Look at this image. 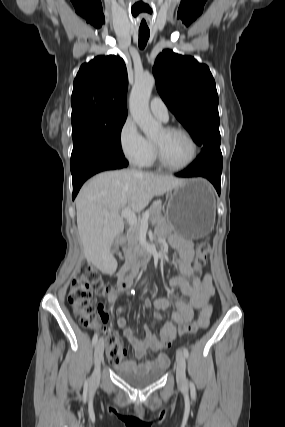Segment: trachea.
I'll use <instances>...</instances> for the list:
<instances>
[{"instance_id":"obj_1","label":"trachea","mask_w":285,"mask_h":427,"mask_svg":"<svg viewBox=\"0 0 285 427\" xmlns=\"http://www.w3.org/2000/svg\"><path fill=\"white\" fill-rule=\"evenodd\" d=\"M150 36V31H139V48L144 49Z\"/></svg>"}]
</instances>
